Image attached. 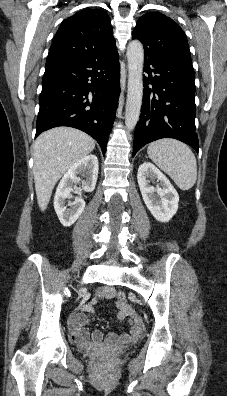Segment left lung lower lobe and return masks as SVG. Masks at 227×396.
<instances>
[{"label": "left lung lower lobe", "mask_w": 227, "mask_h": 396, "mask_svg": "<svg viewBox=\"0 0 227 396\" xmlns=\"http://www.w3.org/2000/svg\"><path fill=\"white\" fill-rule=\"evenodd\" d=\"M144 94L135 128L133 156L147 143L161 138L180 140L197 152L195 83L191 63L144 53ZM152 85V87H149Z\"/></svg>", "instance_id": "0a47b994"}]
</instances>
